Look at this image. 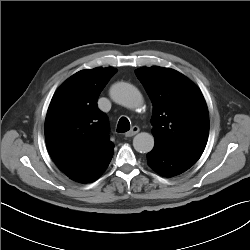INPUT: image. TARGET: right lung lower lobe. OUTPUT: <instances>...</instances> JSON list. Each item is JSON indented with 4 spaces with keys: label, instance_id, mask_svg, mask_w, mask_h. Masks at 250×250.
<instances>
[{
    "label": "right lung lower lobe",
    "instance_id": "right-lung-lower-lobe-1",
    "mask_svg": "<svg viewBox=\"0 0 250 250\" xmlns=\"http://www.w3.org/2000/svg\"><path fill=\"white\" fill-rule=\"evenodd\" d=\"M113 152L114 150L108 153L103 159L88 168L86 171L72 177L71 179L80 183H90L95 181L108 167L112 159Z\"/></svg>",
    "mask_w": 250,
    "mask_h": 250
}]
</instances>
